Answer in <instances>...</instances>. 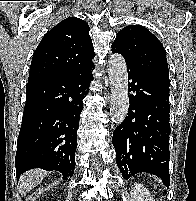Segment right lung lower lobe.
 I'll return each instance as SVG.
<instances>
[{"instance_id":"right-lung-lower-lobe-1","label":"right lung lower lobe","mask_w":196,"mask_h":201,"mask_svg":"<svg viewBox=\"0 0 196 201\" xmlns=\"http://www.w3.org/2000/svg\"><path fill=\"white\" fill-rule=\"evenodd\" d=\"M94 64L75 73L26 85V104L15 158L17 180L41 168L70 180L75 168L82 99L88 93Z\"/></svg>"}]
</instances>
